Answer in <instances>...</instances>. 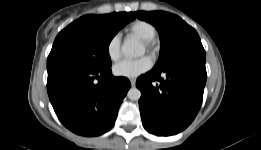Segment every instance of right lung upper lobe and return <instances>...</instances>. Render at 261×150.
Masks as SVG:
<instances>
[{"label":"right lung upper lobe","instance_id":"obj_1","mask_svg":"<svg viewBox=\"0 0 261 150\" xmlns=\"http://www.w3.org/2000/svg\"><path fill=\"white\" fill-rule=\"evenodd\" d=\"M129 14H131L134 17V19H135V16H134V14L132 12H129Z\"/></svg>","mask_w":261,"mask_h":150}]
</instances>
